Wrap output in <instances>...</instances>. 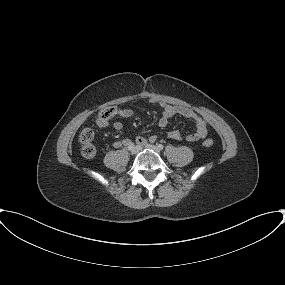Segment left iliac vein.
Instances as JSON below:
<instances>
[{
    "label": "left iliac vein",
    "instance_id": "1",
    "mask_svg": "<svg viewBox=\"0 0 285 285\" xmlns=\"http://www.w3.org/2000/svg\"><path fill=\"white\" fill-rule=\"evenodd\" d=\"M145 148L149 149V150H153L157 153H159V149L155 146V145H151V144H145Z\"/></svg>",
    "mask_w": 285,
    "mask_h": 285
}]
</instances>
